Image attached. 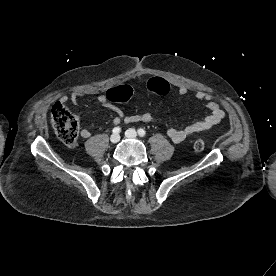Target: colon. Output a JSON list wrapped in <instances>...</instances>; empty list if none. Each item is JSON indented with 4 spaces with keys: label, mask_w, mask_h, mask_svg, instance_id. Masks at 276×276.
<instances>
[{
    "label": "colon",
    "mask_w": 276,
    "mask_h": 276,
    "mask_svg": "<svg viewBox=\"0 0 276 276\" xmlns=\"http://www.w3.org/2000/svg\"><path fill=\"white\" fill-rule=\"evenodd\" d=\"M149 87L152 90L161 93V88L168 87L167 81L154 78L149 81ZM132 93L126 88H114L108 92V97L111 101L118 102L120 100H128ZM51 122L59 139L68 146L74 145L79 134V121L76 115L71 113L63 104L56 103L51 109ZM205 148V143L202 140H196L193 143V150L201 152Z\"/></svg>",
    "instance_id": "colon-1"
}]
</instances>
